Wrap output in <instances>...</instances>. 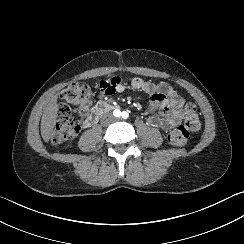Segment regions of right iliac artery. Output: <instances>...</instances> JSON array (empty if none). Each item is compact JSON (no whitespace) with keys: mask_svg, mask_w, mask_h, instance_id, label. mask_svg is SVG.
<instances>
[{"mask_svg":"<svg viewBox=\"0 0 244 244\" xmlns=\"http://www.w3.org/2000/svg\"><path fill=\"white\" fill-rule=\"evenodd\" d=\"M113 114H114V116H116V117H120V115H121V111L118 110V109H116V110H114Z\"/></svg>","mask_w":244,"mask_h":244,"instance_id":"right-iliac-artery-1","label":"right iliac artery"}]
</instances>
